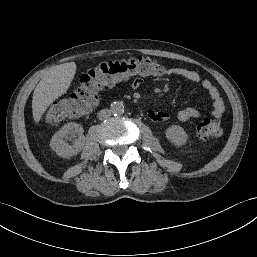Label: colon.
Returning a JSON list of instances; mask_svg holds the SVG:
<instances>
[{
	"label": "colon",
	"instance_id": "5ec220e1",
	"mask_svg": "<svg viewBox=\"0 0 257 257\" xmlns=\"http://www.w3.org/2000/svg\"><path fill=\"white\" fill-rule=\"evenodd\" d=\"M162 72L160 63L147 56L100 63L81 75L71 98L50 107L44 120L56 123L65 118L81 116L97 104L98 92L102 88L126 79L158 76ZM197 133L202 139L218 138L223 133L222 123L217 118H204L197 127Z\"/></svg>",
	"mask_w": 257,
	"mask_h": 257
}]
</instances>
